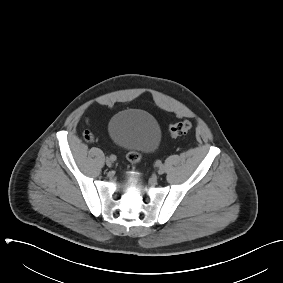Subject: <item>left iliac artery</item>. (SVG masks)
<instances>
[{
  "label": "left iliac artery",
  "mask_w": 283,
  "mask_h": 283,
  "mask_svg": "<svg viewBox=\"0 0 283 283\" xmlns=\"http://www.w3.org/2000/svg\"><path fill=\"white\" fill-rule=\"evenodd\" d=\"M161 165H162V162H161L160 160H157V161H156V166L159 167V166H161Z\"/></svg>",
  "instance_id": "obj_1"
}]
</instances>
